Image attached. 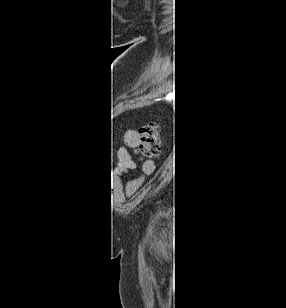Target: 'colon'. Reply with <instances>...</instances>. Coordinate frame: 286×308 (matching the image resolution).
<instances>
[{"label":"colon","mask_w":286,"mask_h":308,"mask_svg":"<svg viewBox=\"0 0 286 308\" xmlns=\"http://www.w3.org/2000/svg\"><path fill=\"white\" fill-rule=\"evenodd\" d=\"M159 145V125L155 122L148 124L141 131L139 148L144 155H154Z\"/></svg>","instance_id":"1"}]
</instances>
